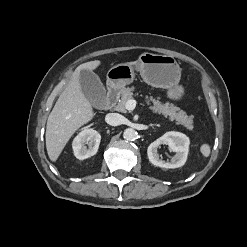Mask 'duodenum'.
I'll use <instances>...</instances> for the list:
<instances>
[{
    "label": "duodenum",
    "instance_id": "1",
    "mask_svg": "<svg viewBox=\"0 0 247 247\" xmlns=\"http://www.w3.org/2000/svg\"><path fill=\"white\" fill-rule=\"evenodd\" d=\"M119 90L116 87H110L107 91L105 100V109H110L118 100Z\"/></svg>",
    "mask_w": 247,
    "mask_h": 247
}]
</instances>
